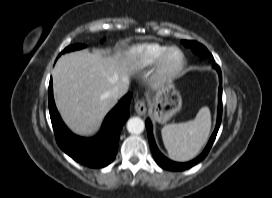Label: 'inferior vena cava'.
Here are the masks:
<instances>
[{
    "label": "inferior vena cava",
    "instance_id": "obj_1",
    "mask_svg": "<svg viewBox=\"0 0 272 198\" xmlns=\"http://www.w3.org/2000/svg\"><path fill=\"white\" fill-rule=\"evenodd\" d=\"M127 90V85H124L122 87H115L112 91H110L109 95L114 99H118L119 97L123 96L127 92Z\"/></svg>",
    "mask_w": 272,
    "mask_h": 198
}]
</instances>
